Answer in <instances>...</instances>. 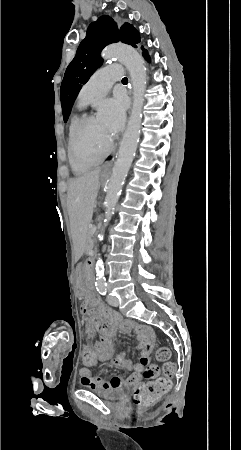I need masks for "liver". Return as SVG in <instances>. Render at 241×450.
I'll return each instance as SVG.
<instances>
[{
    "label": "liver",
    "mask_w": 241,
    "mask_h": 450,
    "mask_svg": "<svg viewBox=\"0 0 241 450\" xmlns=\"http://www.w3.org/2000/svg\"><path fill=\"white\" fill-rule=\"evenodd\" d=\"M101 170L102 168H96L90 174H84L71 182L68 188V210L72 224H90L100 188Z\"/></svg>",
    "instance_id": "obj_1"
}]
</instances>
